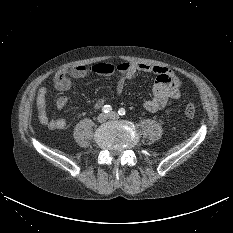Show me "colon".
I'll return each instance as SVG.
<instances>
[{
  "mask_svg": "<svg viewBox=\"0 0 233 233\" xmlns=\"http://www.w3.org/2000/svg\"><path fill=\"white\" fill-rule=\"evenodd\" d=\"M184 113L186 115V117L190 118V119H193L196 115V110H195V107L194 105L191 103V102H188L186 105H185V108H184Z\"/></svg>",
  "mask_w": 233,
  "mask_h": 233,
  "instance_id": "1",
  "label": "colon"
}]
</instances>
